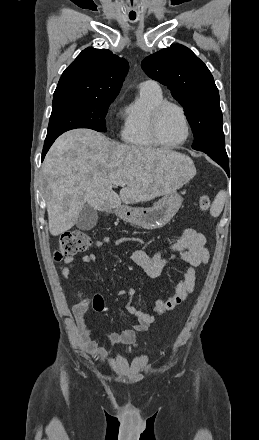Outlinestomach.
Returning a JSON list of instances; mask_svg holds the SVG:
<instances>
[{"mask_svg": "<svg viewBox=\"0 0 259 440\" xmlns=\"http://www.w3.org/2000/svg\"><path fill=\"white\" fill-rule=\"evenodd\" d=\"M182 204V197L175 191L164 195L152 207L119 206L115 214L124 222L147 230L164 227L175 216Z\"/></svg>", "mask_w": 259, "mask_h": 440, "instance_id": "obj_1", "label": "stomach"}]
</instances>
